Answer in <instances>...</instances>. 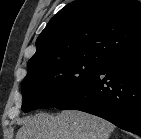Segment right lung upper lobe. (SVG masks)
I'll return each instance as SVG.
<instances>
[{"instance_id":"obj_1","label":"right lung upper lobe","mask_w":141,"mask_h":139,"mask_svg":"<svg viewBox=\"0 0 141 139\" xmlns=\"http://www.w3.org/2000/svg\"><path fill=\"white\" fill-rule=\"evenodd\" d=\"M141 44V2L76 0L47 24L36 41L28 70L77 57L107 59Z\"/></svg>"}]
</instances>
